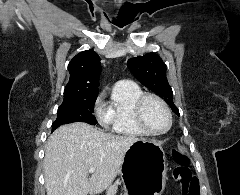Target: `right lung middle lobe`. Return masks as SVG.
I'll return each instance as SVG.
<instances>
[{"label": "right lung middle lobe", "instance_id": "obj_1", "mask_svg": "<svg viewBox=\"0 0 240 195\" xmlns=\"http://www.w3.org/2000/svg\"><path fill=\"white\" fill-rule=\"evenodd\" d=\"M97 97H78L64 99L57 112V119L53 122L52 131L60 125L72 122H86L91 125L97 123L94 104Z\"/></svg>", "mask_w": 240, "mask_h": 195}]
</instances>
